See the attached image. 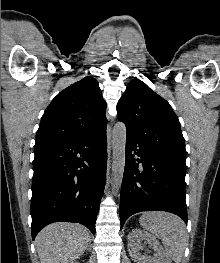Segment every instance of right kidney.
<instances>
[{
  "mask_svg": "<svg viewBox=\"0 0 220 263\" xmlns=\"http://www.w3.org/2000/svg\"><path fill=\"white\" fill-rule=\"evenodd\" d=\"M70 263H79L78 261H71Z\"/></svg>",
  "mask_w": 220,
  "mask_h": 263,
  "instance_id": "obj_1",
  "label": "right kidney"
}]
</instances>
